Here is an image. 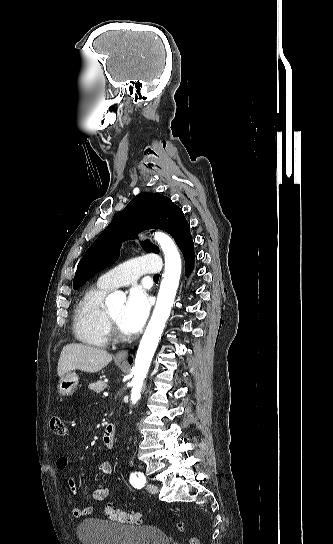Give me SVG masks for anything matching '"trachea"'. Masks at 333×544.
<instances>
[{
	"instance_id": "1",
	"label": "trachea",
	"mask_w": 333,
	"mask_h": 544,
	"mask_svg": "<svg viewBox=\"0 0 333 544\" xmlns=\"http://www.w3.org/2000/svg\"><path fill=\"white\" fill-rule=\"evenodd\" d=\"M154 278H159V274H155V275H154Z\"/></svg>"
}]
</instances>
